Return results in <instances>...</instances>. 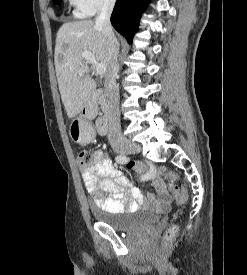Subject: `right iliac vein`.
<instances>
[{"label": "right iliac vein", "instance_id": "obj_1", "mask_svg": "<svg viewBox=\"0 0 247 275\" xmlns=\"http://www.w3.org/2000/svg\"><path fill=\"white\" fill-rule=\"evenodd\" d=\"M119 154L136 153L140 151L139 145L129 140H124L120 145L115 148Z\"/></svg>", "mask_w": 247, "mask_h": 275}]
</instances>
